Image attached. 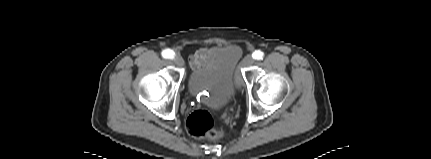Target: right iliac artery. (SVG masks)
<instances>
[{
	"instance_id": "right-iliac-artery-1",
	"label": "right iliac artery",
	"mask_w": 431,
	"mask_h": 159,
	"mask_svg": "<svg viewBox=\"0 0 431 159\" xmlns=\"http://www.w3.org/2000/svg\"><path fill=\"white\" fill-rule=\"evenodd\" d=\"M174 55H175V53H174L172 50H170V49H166V50H164V51L162 52V56H163L164 58H168V59H170V58H173V57H174Z\"/></svg>"
}]
</instances>
